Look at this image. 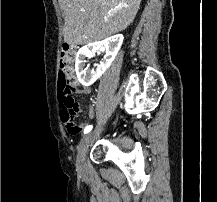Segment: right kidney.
<instances>
[{"label": "right kidney", "mask_w": 217, "mask_h": 202, "mask_svg": "<svg viewBox=\"0 0 217 202\" xmlns=\"http://www.w3.org/2000/svg\"><path fill=\"white\" fill-rule=\"evenodd\" d=\"M123 40L122 34H116V36L106 38V40H102V42H94V44H87V46L80 48L76 56L75 72L82 86H91L97 78H100L101 74H104L105 70L112 64L115 56H117ZM97 48H104L106 52L99 66V70H97V72H91V70H87L86 68L85 58H91Z\"/></svg>", "instance_id": "right-kidney-1"}]
</instances>
